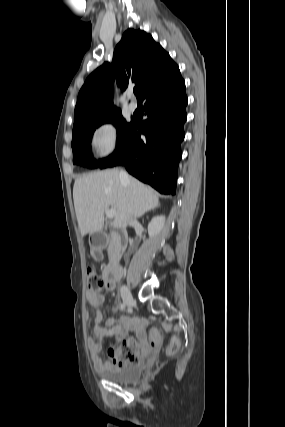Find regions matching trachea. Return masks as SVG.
Segmentation results:
<instances>
[{"instance_id":"1","label":"trachea","mask_w":285,"mask_h":427,"mask_svg":"<svg viewBox=\"0 0 285 427\" xmlns=\"http://www.w3.org/2000/svg\"><path fill=\"white\" fill-rule=\"evenodd\" d=\"M137 91H138L137 89H134V94H137Z\"/></svg>"}]
</instances>
